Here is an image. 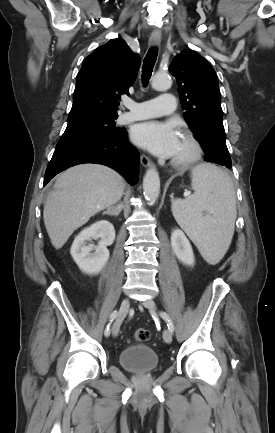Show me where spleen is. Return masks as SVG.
<instances>
[{
    "label": "spleen",
    "instance_id": "obj_1",
    "mask_svg": "<svg viewBox=\"0 0 275 433\" xmlns=\"http://www.w3.org/2000/svg\"><path fill=\"white\" fill-rule=\"evenodd\" d=\"M194 194L172 201V213L209 264L227 252L237 215L231 177L215 165L203 163L192 169Z\"/></svg>",
    "mask_w": 275,
    "mask_h": 433
}]
</instances>
